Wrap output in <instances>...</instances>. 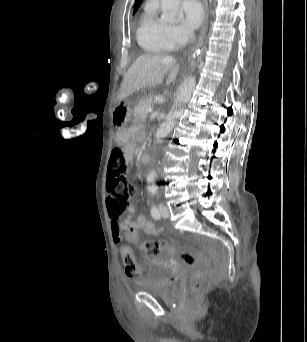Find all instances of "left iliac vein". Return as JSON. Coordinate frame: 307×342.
Returning a JSON list of instances; mask_svg holds the SVG:
<instances>
[{
  "label": "left iliac vein",
  "instance_id": "1",
  "mask_svg": "<svg viewBox=\"0 0 307 342\" xmlns=\"http://www.w3.org/2000/svg\"><path fill=\"white\" fill-rule=\"evenodd\" d=\"M159 209H160V214H161L162 217H164V218H168L169 217L170 212H169L168 208L165 205H160Z\"/></svg>",
  "mask_w": 307,
  "mask_h": 342
}]
</instances>
